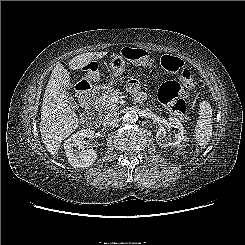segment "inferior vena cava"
Returning <instances> with one entry per match:
<instances>
[{
  "mask_svg": "<svg viewBox=\"0 0 245 245\" xmlns=\"http://www.w3.org/2000/svg\"><path fill=\"white\" fill-rule=\"evenodd\" d=\"M118 123V114L116 112H111L108 113L104 118H103V125L104 126H114Z\"/></svg>",
  "mask_w": 245,
  "mask_h": 245,
  "instance_id": "1",
  "label": "inferior vena cava"
}]
</instances>
